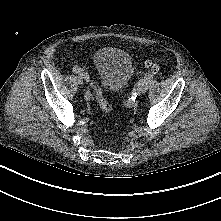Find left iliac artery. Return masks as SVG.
Listing matches in <instances>:
<instances>
[{
  "label": "left iliac artery",
  "instance_id": "left-iliac-artery-1",
  "mask_svg": "<svg viewBox=\"0 0 221 221\" xmlns=\"http://www.w3.org/2000/svg\"><path fill=\"white\" fill-rule=\"evenodd\" d=\"M153 79V75H146L145 77H143L141 80H139V82L136 84L135 88H134V93L132 94V96L125 101L124 106L126 108H131L135 101H136V97H137V93L139 91V88L142 84L144 83H148Z\"/></svg>",
  "mask_w": 221,
  "mask_h": 221
}]
</instances>
